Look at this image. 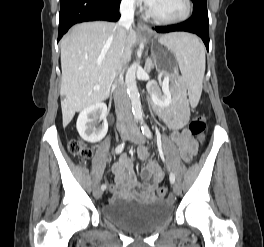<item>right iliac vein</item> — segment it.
<instances>
[{
    "instance_id": "right-iliac-vein-1",
    "label": "right iliac vein",
    "mask_w": 264,
    "mask_h": 247,
    "mask_svg": "<svg viewBox=\"0 0 264 247\" xmlns=\"http://www.w3.org/2000/svg\"><path fill=\"white\" fill-rule=\"evenodd\" d=\"M129 133H130V131L128 129H125V130L121 131V133H120L121 139L123 141L126 140L128 138V136H129ZM94 196H95L96 199H100L101 198L102 191L100 190V188H95Z\"/></svg>"
}]
</instances>
